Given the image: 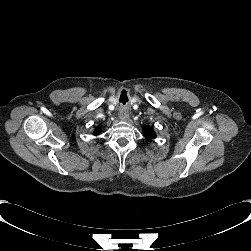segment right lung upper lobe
<instances>
[{"label": "right lung upper lobe", "mask_w": 251, "mask_h": 251, "mask_svg": "<svg viewBox=\"0 0 251 251\" xmlns=\"http://www.w3.org/2000/svg\"><path fill=\"white\" fill-rule=\"evenodd\" d=\"M99 132H100V128L97 127L96 130L94 131V134L96 135V134H98Z\"/></svg>", "instance_id": "cb5924a9"}]
</instances>
